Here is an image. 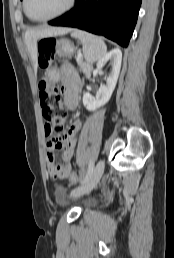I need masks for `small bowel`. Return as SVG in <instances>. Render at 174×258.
<instances>
[{
  "instance_id": "1",
  "label": "small bowel",
  "mask_w": 174,
  "mask_h": 258,
  "mask_svg": "<svg viewBox=\"0 0 174 258\" xmlns=\"http://www.w3.org/2000/svg\"><path fill=\"white\" fill-rule=\"evenodd\" d=\"M65 74V82L69 87L70 92L75 93L81 85V82L71 65H64L63 67ZM76 103L74 100H70L68 106L73 109ZM81 121H74L68 128L66 132V138H52L48 142L47 150H46V162L49 172L54 178H59L61 176L71 177L70 173L71 165L67 162L64 165H56L55 164V154L54 150L62 148L65 160H70L75 152L76 140L74 138V134L81 128ZM44 134L46 137H51V132L49 126L47 124L44 125ZM78 177V176H76Z\"/></svg>"
}]
</instances>
